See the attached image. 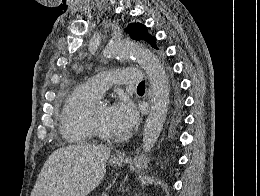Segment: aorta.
I'll list each match as a JSON object with an SVG mask.
<instances>
[{"mask_svg": "<svg viewBox=\"0 0 260 196\" xmlns=\"http://www.w3.org/2000/svg\"><path fill=\"white\" fill-rule=\"evenodd\" d=\"M104 56L108 58L136 59L145 70L152 91V105L147 117L143 132V152L134 160L135 167L142 170L147 167V153L156 143L166 119L169 103V83L163 65L157 56L142 46L131 41H119L111 43L104 50Z\"/></svg>", "mask_w": 260, "mask_h": 196, "instance_id": "1", "label": "aorta"}]
</instances>
